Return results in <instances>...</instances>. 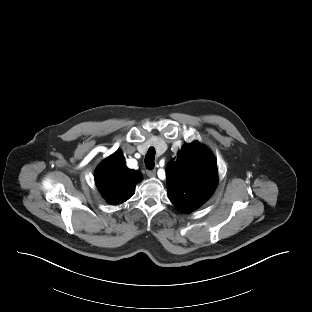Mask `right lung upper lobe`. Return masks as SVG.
I'll list each match as a JSON object with an SVG mask.
<instances>
[{"label": "right lung upper lobe", "instance_id": "obj_1", "mask_svg": "<svg viewBox=\"0 0 312 312\" xmlns=\"http://www.w3.org/2000/svg\"><path fill=\"white\" fill-rule=\"evenodd\" d=\"M141 180V173L127 168L120 152L107 157L95 172L97 187L107 202L113 205L129 199L134 193L135 185Z\"/></svg>", "mask_w": 312, "mask_h": 312}]
</instances>
